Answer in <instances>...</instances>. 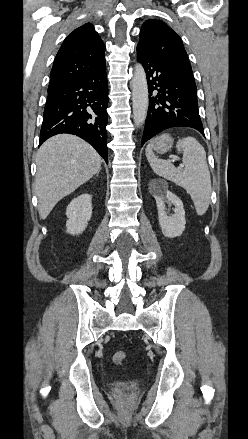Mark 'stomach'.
I'll return each mask as SVG.
<instances>
[{
	"label": "stomach",
	"mask_w": 248,
	"mask_h": 439,
	"mask_svg": "<svg viewBox=\"0 0 248 439\" xmlns=\"http://www.w3.org/2000/svg\"><path fill=\"white\" fill-rule=\"evenodd\" d=\"M152 150L163 154L169 151L173 145V139L169 134H162L151 141Z\"/></svg>",
	"instance_id": "1"
}]
</instances>
